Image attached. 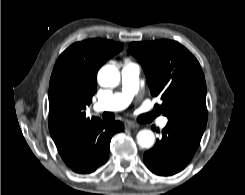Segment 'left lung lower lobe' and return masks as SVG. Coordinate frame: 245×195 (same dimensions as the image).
Wrapping results in <instances>:
<instances>
[{
    "label": "left lung lower lobe",
    "mask_w": 245,
    "mask_h": 195,
    "mask_svg": "<svg viewBox=\"0 0 245 195\" xmlns=\"http://www.w3.org/2000/svg\"><path fill=\"white\" fill-rule=\"evenodd\" d=\"M204 131L168 122L162 138L144 154V163L160 176L174 175L183 170L197 150Z\"/></svg>",
    "instance_id": "obj_1"
}]
</instances>
